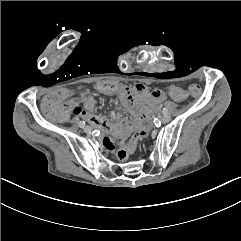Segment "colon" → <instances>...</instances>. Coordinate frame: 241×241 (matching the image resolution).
I'll return each instance as SVG.
<instances>
[{
  "label": "colon",
  "mask_w": 241,
  "mask_h": 241,
  "mask_svg": "<svg viewBox=\"0 0 241 241\" xmlns=\"http://www.w3.org/2000/svg\"><path fill=\"white\" fill-rule=\"evenodd\" d=\"M163 90L169 97H173L175 100H180L184 97V92L178 90L176 86L170 83L165 84ZM98 91L100 93H118L120 91V86L116 83L115 79H101ZM189 92L193 96H198L201 93V87L192 85L189 88Z\"/></svg>",
  "instance_id": "1"
}]
</instances>
